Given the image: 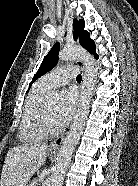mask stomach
Returning a JSON list of instances; mask_svg holds the SVG:
<instances>
[{"label":"stomach","mask_w":138,"mask_h":186,"mask_svg":"<svg viewBox=\"0 0 138 186\" xmlns=\"http://www.w3.org/2000/svg\"><path fill=\"white\" fill-rule=\"evenodd\" d=\"M50 152H51V153H54V151H53V150H50Z\"/></svg>","instance_id":"1"}]
</instances>
